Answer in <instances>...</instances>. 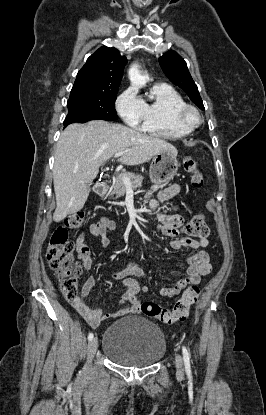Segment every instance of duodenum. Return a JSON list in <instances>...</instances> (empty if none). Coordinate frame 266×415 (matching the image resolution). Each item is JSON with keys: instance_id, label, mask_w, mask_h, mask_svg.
Segmentation results:
<instances>
[{"instance_id": "duodenum-1", "label": "duodenum", "mask_w": 266, "mask_h": 415, "mask_svg": "<svg viewBox=\"0 0 266 415\" xmlns=\"http://www.w3.org/2000/svg\"><path fill=\"white\" fill-rule=\"evenodd\" d=\"M107 184L105 182H98L94 185L93 191L97 195H103L106 192Z\"/></svg>"}]
</instances>
